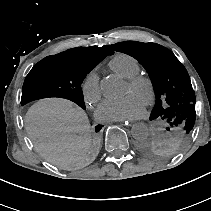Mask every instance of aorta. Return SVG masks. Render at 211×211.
I'll return each mask as SVG.
<instances>
[{
  "label": "aorta",
  "instance_id": "obj_1",
  "mask_svg": "<svg viewBox=\"0 0 211 211\" xmlns=\"http://www.w3.org/2000/svg\"><path fill=\"white\" fill-rule=\"evenodd\" d=\"M101 91L107 98H118L123 95L125 85L122 80L115 76H107L101 80ZM131 134L136 140H143L148 137L149 131L145 124L137 123L132 126Z\"/></svg>",
  "mask_w": 211,
  "mask_h": 211
}]
</instances>
